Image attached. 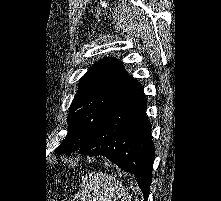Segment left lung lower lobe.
<instances>
[{
	"label": "left lung lower lobe",
	"instance_id": "1",
	"mask_svg": "<svg viewBox=\"0 0 221 201\" xmlns=\"http://www.w3.org/2000/svg\"><path fill=\"white\" fill-rule=\"evenodd\" d=\"M154 150L142 87L115 105L78 149L81 154L106 156L122 170L134 174L144 201L152 181Z\"/></svg>",
	"mask_w": 221,
	"mask_h": 201
}]
</instances>
